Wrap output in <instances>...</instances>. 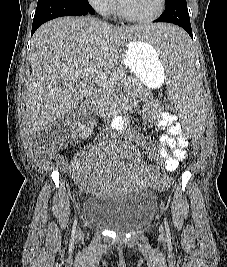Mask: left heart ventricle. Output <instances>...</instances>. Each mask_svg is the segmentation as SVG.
Wrapping results in <instances>:
<instances>
[{"label": "left heart ventricle", "instance_id": "1", "mask_svg": "<svg viewBox=\"0 0 227 267\" xmlns=\"http://www.w3.org/2000/svg\"><path fill=\"white\" fill-rule=\"evenodd\" d=\"M120 2L127 14L136 17H148L158 7V0H120Z\"/></svg>", "mask_w": 227, "mask_h": 267}]
</instances>
